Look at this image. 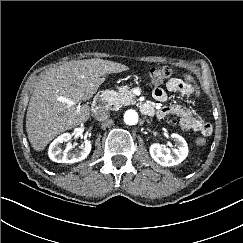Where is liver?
<instances>
[{
	"instance_id": "6515ba94",
	"label": "liver",
	"mask_w": 243,
	"mask_h": 243,
	"mask_svg": "<svg viewBox=\"0 0 243 243\" xmlns=\"http://www.w3.org/2000/svg\"><path fill=\"white\" fill-rule=\"evenodd\" d=\"M127 69L124 64L95 58L49 69L37 83L27 110L26 131L33 149L42 151L58 134L86 122L90 107L79 101L93 97L105 75ZM61 97L75 104L62 102Z\"/></svg>"
}]
</instances>
